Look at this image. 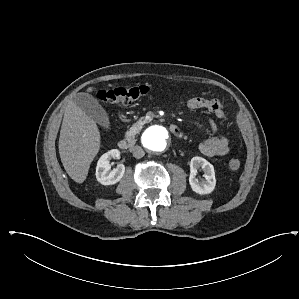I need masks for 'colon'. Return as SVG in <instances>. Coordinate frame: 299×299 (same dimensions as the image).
Returning <instances> with one entry per match:
<instances>
[{
	"label": "colon",
	"mask_w": 299,
	"mask_h": 299,
	"mask_svg": "<svg viewBox=\"0 0 299 299\" xmlns=\"http://www.w3.org/2000/svg\"><path fill=\"white\" fill-rule=\"evenodd\" d=\"M149 93L147 85H137L133 87H116L111 89H103L99 92V99L110 105H125L135 101ZM241 162L237 158L229 161V167L232 170H238Z\"/></svg>",
	"instance_id": "colon-1"
}]
</instances>
